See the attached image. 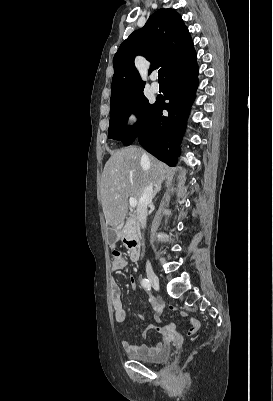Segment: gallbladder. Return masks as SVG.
<instances>
[{
	"label": "gallbladder",
	"instance_id": "bac80fb5",
	"mask_svg": "<svg viewBox=\"0 0 273 401\" xmlns=\"http://www.w3.org/2000/svg\"><path fill=\"white\" fill-rule=\"evenodd\" d=\"M108 232H109L108 233V236H109L108 245L114 246L116 241H118V235H117L118 229L117 228H114V229L109 228Z\"/></svg>",
	"mask_w": 273,
	"mask_h": 401
}]
</instances>
